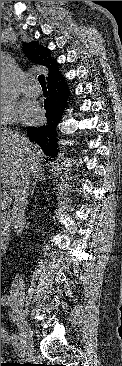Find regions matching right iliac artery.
Segmentation results:
<instances>
[{
	"label": "right iliac artery",
	"instance_id": "82829eb1",
	"mask_svg": "<svg viewBox=\"0 0 122 366\" xmlns=\"http://www.w3.org/2000/svg\"><path fill=\"white\" fill-rule=\"evenodd\" d=\"M1 304L3 306H8L10 304V297L7 296V295L2 296V298H1ZM22 342H23V340H22ZM20 355L21 356H24L25 355L24 351H21L20 352Z\"/></svg>",
	"mask_w": 122,
	"mask_h": 366
}]
</instances>
